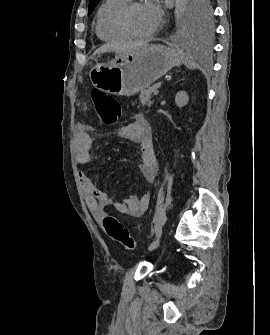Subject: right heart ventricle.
I'll return each instance as SVG.
<instances>
[{
    "label": "right heart ventricle",
    "mask_w": 270,
    "mask_h": 335,
    "mask_svg": "<svg viewBox=\"0 0 270 335\" xmlns=\"http://www.w3.org/2000/svg\"><path fill=\"white\" fill-rule=\"evenodd\" d=\"M129 3L122 0H105L96 14L95 33L97 37L105 42H117L128 38L117 26V15L119 11ZM151 78V77H135Z\"/></svg>",
    "instance_id": "e07e8e85"
}]
</instances>
